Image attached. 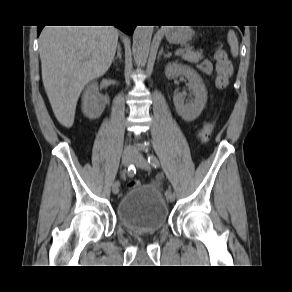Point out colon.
<instances>
[{"instance_id":"colon-1","label":"colon","mask_w":292,"mask_h":292,"mask_svg":"<svg viewBox=\"0 0 292 292\" xmlns=\"http://www.w3.org/2000/svg\"><path fill=\"white\" fill-rule=\"evenodd\" d=\"M214 58L216 61V86L219 89H225L229 85V80L233 72L232 63L229 60L226 51L223 49H217L214 53ZM213 129V121L205 123L198 133L200 140L202 142H206L209 139ZM138 185H140L138 180H131L128 183L129 188H134Z\"/></svg>"}]
</instances>
